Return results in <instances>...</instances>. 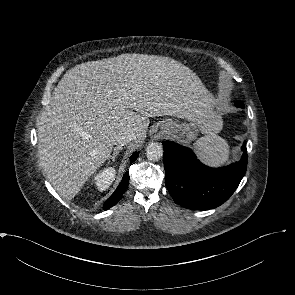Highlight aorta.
Instances as JSON below:
<instances>
[{"label":"aorta","mask_w":295,"mask_h":295,"mask_svg":"<svg viewBox=\"0 0 295 295\" xmlns=\"http://www.w3.org/2000/svg\"><path fill=\"white\" fill-rule=\"evenodd\" d=\"M146 156L149 160H159L163 156V147L157 142L150 143L146 148Z\"/></svg>","instance_id":"aorta-1"}]
</instances>
